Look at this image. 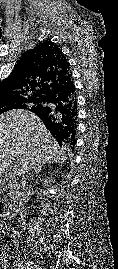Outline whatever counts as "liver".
I'll use <instances>...</instances> for the list:
<instances>
[{"label": "liver", "mask_w": 118, "mask_h": 269, "mask_svg": "<svg viewBox=\"0 0 118 269\" xmlns=\"http://www.w3.org/2000/svg\"><path fill=\"white\" fill-rule=\"evenodd\" d=\"M65 160L64 148L35 114L17 109L0 115V175L10 165L14 173L22 175L34 167Z\"/></svg>", "instance_id": "liver-1"}]
</instances>
